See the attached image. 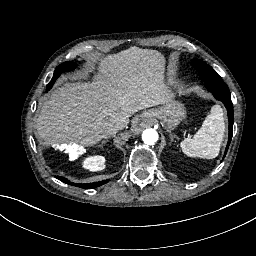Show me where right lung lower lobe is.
<instances>
[{"label": "right lung lower lobe", "mask_w": 256, "mask_h": 256, "mask_svg": "<svg viewBox=\"0 0 256 256\" xmlns=\"http://www.w3.org/2000/svg\"><path fill=\"white\" fill-rule=\"evenodd\" d=\"M57 179H59L60 181L64 182V183H67L69 185H73V186H77V187H81V188H84V189H91V188H96L98 186H101L105 183L108 182V180H104V181H100V182H96V183H90V184H77V183H72L66 179H64L63 177H60V176H56Z\"/></svg>", "instance_id": "obj_1"}]
</instances>
